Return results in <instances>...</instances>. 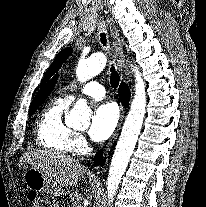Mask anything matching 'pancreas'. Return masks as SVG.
<instances>
[{
    "label": "pancreas",
    "mask_w": 206,
    "mask_h": 207,
    "mask_svg": "<svg viewBox=\"0 0 206 207\" xmlns=\"http://www.w3.org/2000/svg\"><path fill=\"white\" fill-rule=\"evenodd\" d=\"M69 199L68 207H81V195L78 192L70 194Z\"/></svg>",
    "instance_id": "pancreas-1"
}]
</instances>
